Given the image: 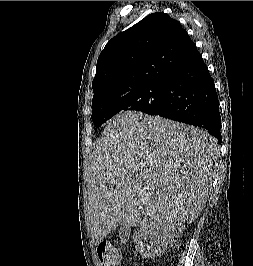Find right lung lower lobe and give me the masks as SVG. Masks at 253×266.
<instances>
[{"mask_svg":"<svg viewBox=\"0 0 253 266\" xmlns=\"http://www.w3.org/2000/svg\"><path fill=\"white\" fill-rule=\"evenodd\" d=\"M161 108L153 114L200 127L222 141L214 80L201 55L165 80Z\"/></svg>","mask_w":253,"mask_h":266,"instance_id":"1","label":"right lung lower lobe"}]
</instances>
